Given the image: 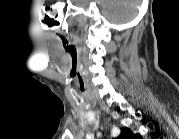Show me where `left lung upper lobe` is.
I'll list each match as a JSON object with an SVG mask.
<instances>
[{"label":"left lung upper lobe","mask_w":179,"mask_h":139,"mask_svg":"<svg viewBox=\"0 0 179 139\" xmlns=\"http://www.w3.org/2000/svg\"><path fill=\"white\" fill-rule=\"evenodd\" d=\"M121 138H125V139H135V138H140L138 135H135L131 132V130H129L128 128H124L121 132L120 135Z\"/></svg>","instance_id":"1"}]
</instances>
